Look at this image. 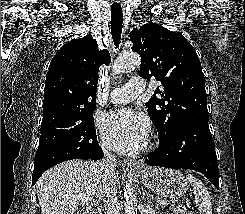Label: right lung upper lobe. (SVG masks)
<instances>
[{
	"label": "right lung upper lobe",
	"mask_w": 245,
	"mask_h": 214,
	"mask_svg": "<svg viewBox=\"0 0 245 214\" xmlns=\"http://www.w3.org/2000/svg\"><path fill=\"white\" fill-rule=\"evenodd\" d=\"M110 63L89 34L74 39L56 53L46 75L41 131L77 121L95 109L98 72Z\"/></svg>",
	"instance_id": "right-lung-upper-lobe-1"
}]
</instances>
